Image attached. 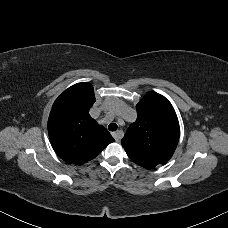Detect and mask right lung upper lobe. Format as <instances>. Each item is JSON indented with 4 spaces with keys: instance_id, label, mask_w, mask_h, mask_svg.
<instances>
[{
    "instance_id": "cb5924a9",
    "label": "right lung upper lobe",
    "mask_w": 228,
    "mask_h": 228,
    "mask_svg": "<svg viewBox=\"0 0 228 228\" xmlns=\"http://www.w3.org/2000/svg\"><path fill=\"white\" fill-rule=\"evenodd\" d=\"M95 100L93 86L78 83L65 90L52 107L50 141L58 156L68 163L84 164L114 142L107 129L89 115Z\"/></svg>"
}]
</instances>
